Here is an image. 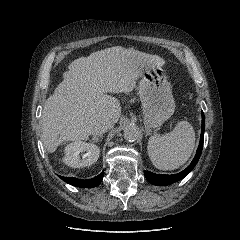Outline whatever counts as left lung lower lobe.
<instances>
[{"label":"left lung lower lobe","mask_w":240,"mask_h":240,"mask_svg":"<svg viewBox=\"0 0 240 240\" xmlns=\"http://www.w3.org/2000/svg\"><path fill=\"white\" fill-rule=\"evenodd\" d=\"M201 116H202L201 138H200V142H199V146H198L196 155H195L194 159L192 160L191 164L186 169H184L182 172H180L178 174H173V175L154 174V173H151L148 171H144V175L150 183H152L153 185H157V186L170 185L177 181H180L186 175H188V173H190L192 171V169L195 167V165L197 164V162L201 156V152H202V148H203V139H204V130H205V119H204L203 112L201 113Z\"/></svg>","instance_id":"0a47b994"}]
</instances>
